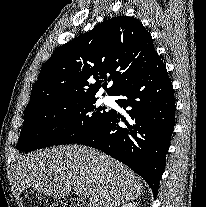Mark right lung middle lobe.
Returning <instances> with one entry per match:
<instances>
[{
	"mask_svg": "<svg viewBox=\"0 0 206 207\" xmlns=\"http://www.w3.org/2000/svg\"><path fill=\"white\" fill-rule=\"evenodd\" d=\"M94 96L53 101L24 112L17 144L20 151L75 143L96 129L111 113L96 107Z\"/></svg>",
	"mask_w": 206,
	"mask_h": 207,
	"instance_id": "1",
	"label": "right lung middle lobe"
}]
</instances>
